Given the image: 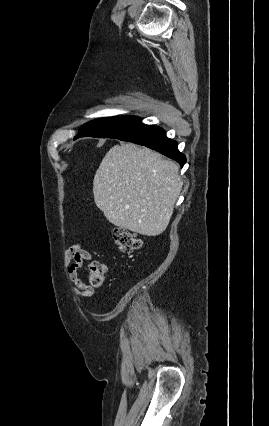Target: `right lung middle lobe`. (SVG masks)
Returning <instances> with one entry per match:
<instances>
[{"label":"right lung middle lobe","mask_w":269,"mask_h":426,"mask_svg":"<svg viewBox=\"0 0 269 426\" xmlns=\"http://www.w3.org/2000/svg\"><path fill=\"white\" fill-rule=\"evenodd\" d=\"M142 124L141 119L135 116H116L97 119L86 123L80 128L76 138H121Z\"/></svg>","instance_id":"1"}]
</instances>
